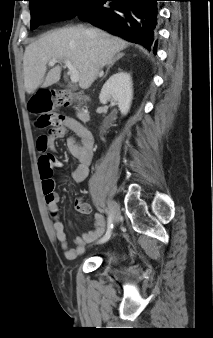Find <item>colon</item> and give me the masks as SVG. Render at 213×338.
<instances>
[{
  "instance_id": "obj_1",
  "label": "colon",
  "mask_w": 213,
  "mask_h": 338,
  "mask_svg": "<svg viewBox=\"0 0 213 338\" xmlns=\"http://www.w3.org/2000/svg\"><path fill=\"white\" fill-rule=\"evenodd\" d=\"M76 98L66 94H55L49 90L38 91L32 95L28 102L29 110L36 116V125L41 128L61 126L64 116L56 113L54 108L72 107ZM45 193L53 189V181L49 178L42 180Z\"/></svg>"
}]
</instances>
